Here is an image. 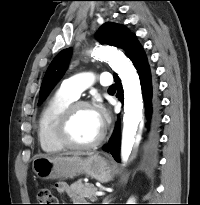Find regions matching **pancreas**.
I'll list each match as a JSON object with an SVG mask.
<instances>
[{
    "mask_svg": "<svg viewBox=\"0 0 200 205\" xmlns=\"http://www.w3.org/2000/svg\"><path fill=\"white\" fill-rule=\"evenodd\" d=\"M97 188L91 183H83L82 179L74 182L70 186L69 196L73 201H85L90 199L91 201H96V195L94 194Z\"/></svg>",
    "mask_w": 200,
    "mask_h": 205,
    "instance_id": "cf45deb5",
    "label": "pancreas"
}]
</instances>
